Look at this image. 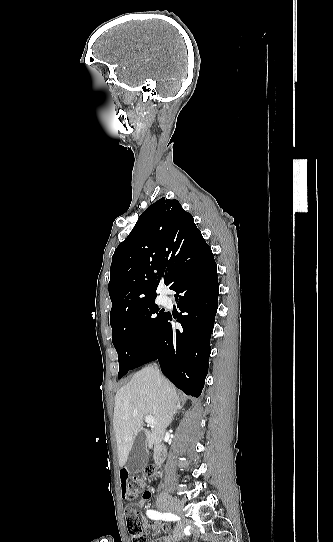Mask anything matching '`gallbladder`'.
Returning <instances> with one entry per match:
<instances>
[{
	"instance_id": "gallbladder-1",
	"label": "gallbladder",
	"mask_w": 333,
	"mask_h": 542,
	"mask_svg": "<svg viewBox=\"0 0 333 542\" xmlns=\"http://www.w3.org/2000/svg\"><path fill=\"white\" fill-rule=\"evenodd\" d=\"M148 462V448L145 430H141L134 440L132 450L128 456L125 468L129 474H139Z\"/></svg>"
}]
</instances>
